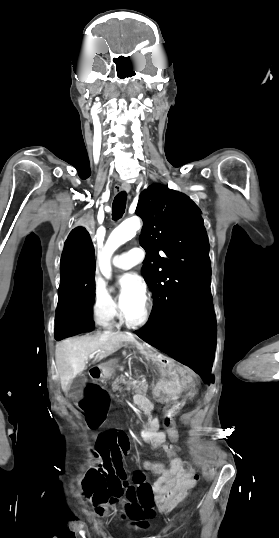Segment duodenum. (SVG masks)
I'll use <instances>...</instances> for the list:
<instances>
[{"mask_svg": "<svg viewBox=\"0 0 279 538\" xmlns=\"http://www.w3.org/2000/svg\"><path fill=\"white\" fill-rule=\"evenodd\" d=\"M112 372V369L104 368V365L95 364L89 368L87 376L89 380H94L95 383H100L104 373ZM133 401L135 405L140 407V410H143L145 415L152 413V401H150V396L145 395H135L133 396Z\"/></svg>", "mask_w": 279, "mask_h": 538, "instance_id": "obj_1", "label": "duodenum"}]
</instances>
